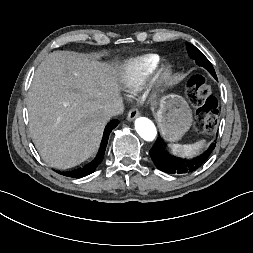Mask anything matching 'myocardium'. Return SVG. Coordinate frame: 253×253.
<instances>
[{"mask_svg":"<svg viewBox=\"0 0 253 253\" xmlns=\"http://www.w3.org/2000/svg\"><path fill=\"white\" fill-rule=\"evenodd\" d=\"M156 87L161 86L165 82L172 79V66L162 65L157 71Z\"/></svg>","mask_w":253,"mask_h":253,"instance_id":"obj_1","label":"myocardium"}]
</instances>
